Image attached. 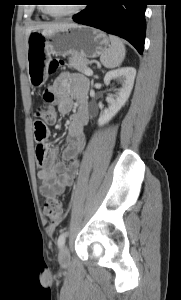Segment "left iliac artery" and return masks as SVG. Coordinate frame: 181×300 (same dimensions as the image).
I'll use <instances>...</instances> for the list:
<instances>
[{"label":"left iliac artery","mask_w":181,"mask_h":300,"mask_svg":"<svg viewBox=\"0 0 181 300\" xmlns=\"http://www.w3.org/2000/svg\"><path fill=\"white\" fill-rule=\"evenodd\" d=\"M66 236H67L66 232H63V233L60 234V236L58 238V241H57L59 248H62L64 246Z\"/></svg>","instance_id":"1"}]
</instances>
